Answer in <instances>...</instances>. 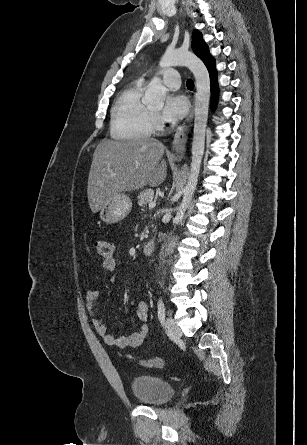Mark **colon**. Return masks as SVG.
Listing matches in <instances>:
<instances>
[{"label":"colon","instance_id":"5ec220e1","mask_svg":"<svg viewBox=\"0 0 307 445\" xmlns=\"http://www.w3.org/2000/svg\"><path fill=\"white\" fill-rule=\"evenodd\" d=\"M95 248L99 256L102 257L103 259L112 258L114 246L110 241L98 240L95 242ZM129 357L135 359L133 356ZM137 362L142 366L156 368V369H161L163 368L164 365L163 360L158 357L149 359H137Z\"/></svg>","mask_w":307,"mask_h":445}]
</instances>
